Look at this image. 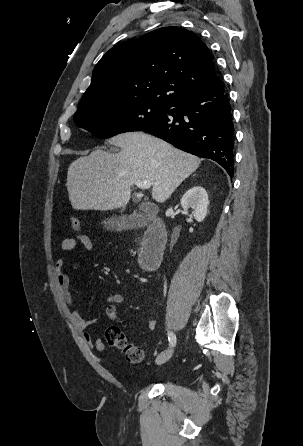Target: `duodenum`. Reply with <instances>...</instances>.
<instances>
[{
    "label": "duodenum",
    "mask_w": 303,
    "mask_h": 446,
    "mask_svg": "<svg viewBox=\"0 0 303 446\" xmlns=\"http://www.w3.org/2000/svg\"><path fill=\"white\" fill-rule=\"evenodd\" d=\"M167 234L163 222L156 218L146 228L138 256L139 264L146 270L155 269L161 262L166 247Z\"/></svg>",
    "instance_id": "obj_1"
}]
</instances>
